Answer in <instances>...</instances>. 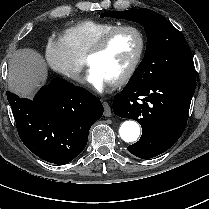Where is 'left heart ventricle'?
Segmentation results:
<instances>
[{"label": "left heart ventricle", "mask_w": 209, "mask_h": 209, "mask_svg": "<svg viewBox=\"0 0 209 209\" xmlns=\"http://www.w3.org/2000/svg\"><path fill=\"white\" fill-rule=\"evenodd\" d=\"M139 47L137 35L130 30L116 33L106 49L89 61V66L96 67L113 82L120 78L133 61Z\"/></svg>", "instance_id": "obj_1"}]
</instances>
